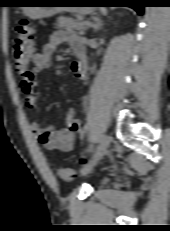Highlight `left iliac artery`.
<instances>
[{"instance_id":"obj_1","label":"left iliac artery","mask_w":170,"mask_h":231,"mask_svg":"<svg viewBox=\"0 0 170 231\" xmlns=\"http://www.w3.org/2000/svg\"><path fill=\"white\" fill-rule=\"evenodd\" d=\"M87 130H88V126H85V127L82 129L81 134L83 135Z\"/></svg>"}]
</instances>
